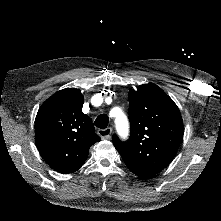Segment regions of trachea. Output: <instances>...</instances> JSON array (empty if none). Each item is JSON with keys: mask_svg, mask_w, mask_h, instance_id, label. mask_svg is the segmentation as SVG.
<instances>
[{"mask_svg": "<svg viewBox=\"0 0 221 221\" xmlns=\"http://www.w3.org/2000/svg\"><path fill=\"white\" fill-rule=\"evenodd\" d=\"M108 122H109L108 116L106 114H101L96 118L94 124L96 127L100 129H105L108 126Z\"/></svg>", "mask_w": 221, "mask_h": 221, "instance_id": "trachea-1", "label": "trachea"}]
</instances>
